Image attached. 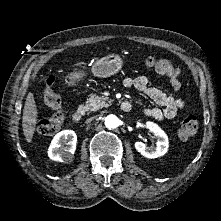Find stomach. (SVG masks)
<instances>
[{
    "label": "stomach",
    "mask_w": 221,
    "mask_h": 221,
    "mask_svg": "<svg viewBox=\"0 0 221 221\" xmlns=\"http://www.w3.org/2000/svg\"><path fill=\"white\" fill-rule=\"evenodd\" d=\"M123 65L122 58L118 54H110L103 58L98 59L92 65V73L96 77L106 78L116 74ZM86 76V73L83 70H76L69 74L68 83L74 84L75 82L80 81Z\"/></svg>",
    "instance_id": "0dacf381"
}]
</instances>
